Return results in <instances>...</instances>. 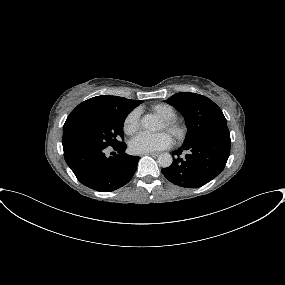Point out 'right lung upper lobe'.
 Returning <instances> with one entry per match:
<instances>
[{"label":"right lung upper lobe","mask_w":285,"mask_h":285,"mask_svg":"<svg viewBox=\"0 0 285 285\" xmlns=\"http://www.w3.org/2000/svg\"><path fill=\"white\" fill-rule=\"evenodd\" d=\"M142 101L130 100L118 96H96L80 103L67 117L63 126V148L69 133L85 120L114 111H131Z\"/></svg>","instance_id":"cb5924a9"}]
</instances>
